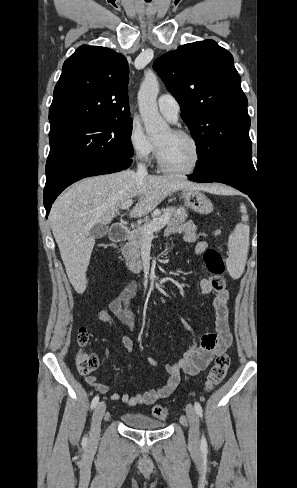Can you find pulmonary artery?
I'll use <instances>...</instances> for the list:
<instances>
[{
	"mask_svg": "<svg viewBox=\"0 0 297 488\" xmlns=\"http://www.w3.org/2000/svg\"><path fill=\"white\" fill-rule=\"evenodd\" d=\"M160 113L172 122H176L180 106L177 100L170 94H163L158 98Z\"/></svg>",
	"mask_w": 297,
	"mask_h": 488,
	"instance_id": "obj_1",
	"label": "pulmonary artery"
}]
</instances>
